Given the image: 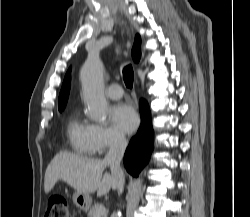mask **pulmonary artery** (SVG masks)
I'll list each match as a JSON object with an SVG mask.
<instances>
[{
	"mask_svg": "<svg viewBox=\"0 0 250 217\" xmlns=\"http://www.w3.org/2000/svg\"><path fill=\"white\" fill-rule=\"evenodd\" d=\"M105 94L110 99H120L123 96V89L119 84H111L106 88Z\"/></svg>",
	"mask_w": 250,
	"mask_h": 217,
	"instance_id": "pulmonary-artery-1",
	"label": "pulmonary artery"
}]
</instances>
